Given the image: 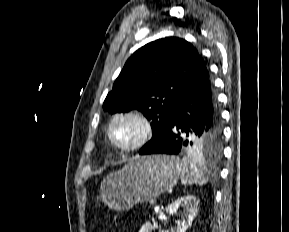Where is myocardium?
<instances>
[{"mask_svg":"<svg viewBox=\"0 0 289 232\" xmlns=\"http://www.w3.org/2000/svg\"><path fill=\"white\" fill-rule=\"evenodd\" d=\"M126 118L135 120L141 127V133H140V136L133 143L123 145V144H119L114 139L113 127L117 121L121 119H126ZM107 134H108L109 141L115 148L122 150V151H133V150L143 147L145 144L149 142V140L152 138L154 134V124L151 118L140 110H135V109L125 110V111L118 112L117 114L113 116V118L111 119L108 125Z\"/></svg>","mask_w":289,"mask_h":232,"instance_id":"myocardium-1","label":"myocardium"}]
</instances>
